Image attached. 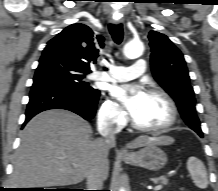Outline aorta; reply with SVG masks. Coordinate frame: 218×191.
<instances>
[{
	"mask_svg": "<svg viewBox=\"0 0 218 191\" xmlns=\"http://www.w3.org/2000/svg\"><path fill=\"white\" fill-rule=\"evenodd\" d=\"M144 46L141 41H130L125 44L123 53L128 59H136L143 54ZM120 191H125L121 188Z\"/></svg>",
	"mask_w": 218,
	"mask_h": 191,
	"instance_id": "762f6f07",
	"label": "aorta"
}]
</instances>
